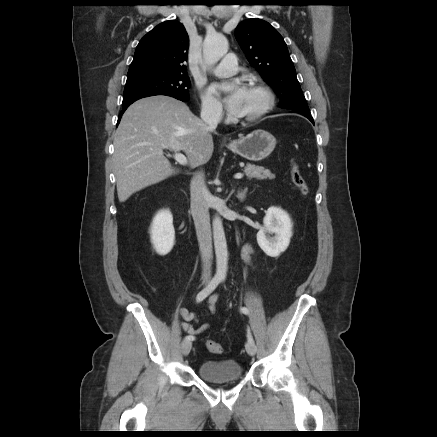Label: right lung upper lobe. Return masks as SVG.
Returning a JSON list of instances; mask_svg holds the SVG:
<instances>
[{
  "label": "right lung upper lobe",
  "mask_w": 437,
  "mask_h": 437,
  "mask_svg": "<svg viewBox=\"0 0 437 437\" xmlns=\"http://www.w3.org/2000/svg\"><path fill=\"white\" fill-rule=\"evenodd\" d=\"M188 48L189 37L184 26L176 20L165 21L140 40L128 72L187 74Z\"/></svg>",
  "instance_id": "right-lung-upper-lobe-1"
}]
</instances>
